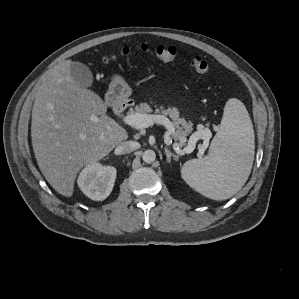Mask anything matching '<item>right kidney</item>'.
I'll list each match as a JSON object with an SVG mask.
<instances>
[{"mask_svg":"<svg viewBox=\"0 0 299 299\" xmlns=\"http://www.w3.org/2000/svg\"><path fill=\"white\" fill-rule=\"evenodd\" d=\"M116 169L100 163H90L81 171L78 186L90 199L101 201L106 199L114 186Z\"/></svg>","mask_w":299,"mask_h":299,"instance_id":"ca27d5eb","label":"right kidney"}]
</instances>
